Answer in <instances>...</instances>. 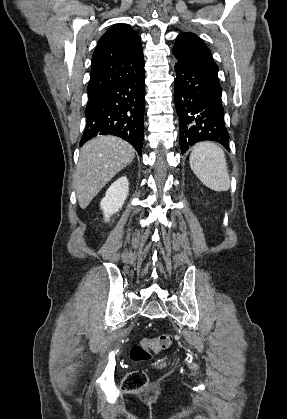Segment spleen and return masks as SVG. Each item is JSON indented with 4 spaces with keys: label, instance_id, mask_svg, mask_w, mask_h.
<instances>
[{
    "label": "spleen",
    "instance_id": "3e777b00",
    "mask_svg": "<svg viewBox=\"0 0 287 419\" xmlns=\"http://www.w3.org/2000/svg\"><path fill=\"white\" fill-rule=\"evenodd\" d=\"M190 167L199 180L216 192L230 188V176L223 149L213 142L195 144L190 155Z\"/></svg>",
    "mask_w": 287,
    "mask_h": 419
}]
</instances>
